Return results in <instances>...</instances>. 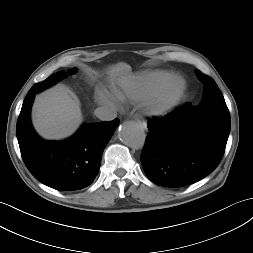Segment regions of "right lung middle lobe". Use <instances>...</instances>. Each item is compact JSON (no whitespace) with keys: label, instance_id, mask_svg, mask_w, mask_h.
<instances>
[{"label":"right lung middle lobe","instance_id":"dd1d6c3e","mask_svg":"<svg viewBox=\"0 0 253 253\" xmlns=\"http://www.w3.org/2000/svg\"><path fill=\"white\" fill-rule=\"evenodd\" d=\"M74 72V70H70L69 73ZM65 73L64 72H58L55 74H52L51 76H49L46 80H44L43 82L40 83H36L28 92V94L34 92H40L41 90L55 84L57 81L61 80L62 78L65 77Z\"/></svg>","mask_w":253,"mask_h":253}]
</instances>
